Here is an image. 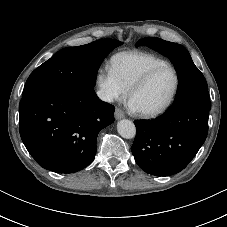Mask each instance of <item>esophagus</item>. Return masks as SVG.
Wrapping results in <instances>:
<instances>
[{"label":"esophagus","instance_id":"esophagus-1","mask_svg":"<svg viewBox=\"0 0 227 227\" xmlns=\"http://www.w3.org/2000/svg\"><path fill=\"white\" fill-rule=\"evenodd\" d=\"M114 115H115V119H117V120L125 117L124 112L119 108H116Z\"/></svg>","mask_w":227,"mask_h":227}]
</instances>
